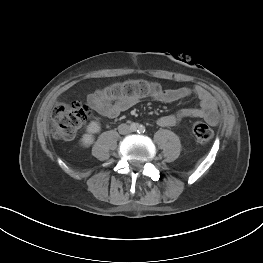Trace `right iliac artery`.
I'll use <instances>...</instances> for the list:
<instances>
[{"instance_id": "1", "label": "right iliac artery", "mask_w": 263, "mask_h": 263, "mask_svg": "<svg viewBox=\"0 0 263 263\" xmlns=\"http://www.w3.org/2000/svg\"><path fill=\"white\" fill-rule=\"evenodd\" d=\"M130 128H131L132 131H137L138 128H139V126H138V124H136V123H132L131 126H130Z\"/></svg>"}]
</instances>
